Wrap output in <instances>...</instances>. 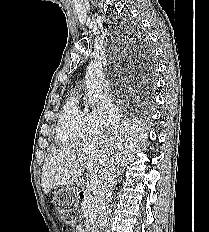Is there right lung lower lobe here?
I'll return each instance as SVG.
<instances>
[{"mask_svg":"<svg viewBox=\"0 0 209 232\" xmlns=\"http://www.w3.org/2000/svg\"><path fill=\"white\" fill-rule=\"evenodd\" d=\"M140 59L147 65V77L150 78L151 72H152V67H153V53L152 51L147 47L144 46L143 48H141L140 50Z\"/></svg>","mask_w":209,"mask_h":232,"instance_id":"obj_1","label":"right lung lower lobe"}]
</instances>
